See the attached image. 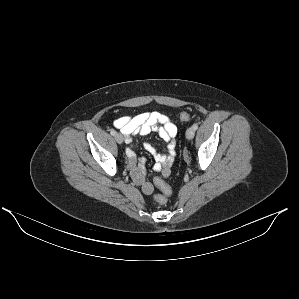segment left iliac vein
<instances>
[{"label": "left iliac vein", "mask_w": 299, "mask_h": 299, "mask_svg": "<svg viewBox=\"0 0 299 299\" xmlns=\"http://www.w3.org/2000/svg\"><path fill=\"white\" fill-rule=\"evenodd\" d=\"M194 134H195V130L193 129V127H190L186 131V138L190 140L194 137Z\"/></svg>", "instance_id": "obj_1"}]
</instances>
